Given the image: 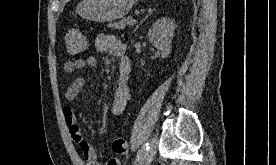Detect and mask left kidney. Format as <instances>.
Returning a JSON list of instances; mask_svg holds the SVG:
<instances>
[{
  "label": "left kidney",
  "mask_w": 276,
  "mask_h": 165,
  "mask_svg": "<svg viewBox=\"0 0 276 165\" xmlns=\"http://www.w3.org/2000/svg\"><path fill=\"white\" fill-rule=\"evenodd\" d=\"M174 29V20L166 17L157 20L149 29V42L161 51L162 58L168 57L171 52Z\"/></svg>",
  "instance_id": "left-kidney-1"
}]
</instances>
